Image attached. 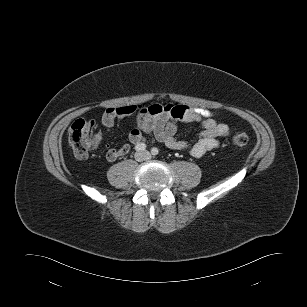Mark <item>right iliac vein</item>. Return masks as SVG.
<instances>
[{
    "mask_svg": "<svg viewBox=\"0 0 307 307\" xmlns=\"http://www.w3.org/2000/svg\"><path fill=\"white\" fill-rule=\"evenodd\" d=\"M135 159L139 162L143 161L145 159V154L144 153H141V152H138L135 154Z\"/></svg>",
    "mask_w": 307,
    "mask_h": 307,
    "instance_id": "obj_1",
    "label": "right iliac vein"
}]
</instances>
